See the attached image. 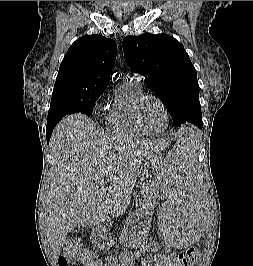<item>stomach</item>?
<instances>
[{
	"label": "stomach",
	"instance_id": "stomach-1",
	"mask_svg": "<svg viewBox=\"0 0 253 266\" xmlns=\"http://www.w3.org/2000/svg\"><path fill=\"white\" fill-rule=\"evenodd\" d=\"M162 155L156 154L151 157L142 172L140 180L141 199L138 208L127 220L124 229L121 232L120 240L131 248H141L147 244V230L151 226L154 198L158 192V186L164 177L165 169L162 168ZM102 246H108L109 241L105 240Z\"/></svg>",
	"mask_w": 253,
	"mask_h": 266
}]
</instances>
